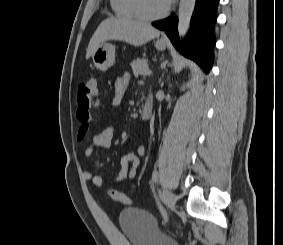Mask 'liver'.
Here are the masks:
<instances>
[{
	"mask_svg": "<svg viewBox=\"0 0 283 245\" xmlns=\"http://www.w3.org/2000/svg\"><path fill=\"white\" fill-rule=\"evenodd\" d=\"M159 35L160 32L148 23L124 18H109L99 25L92 36L86 59H89L96 49L108 40L124 41L133 46H141Z\"/></svg>",
	"mask_w": 283,
	"mask_h": 245,
	"instance_id": "1",
	"label": "liver"
}]
</instances>
